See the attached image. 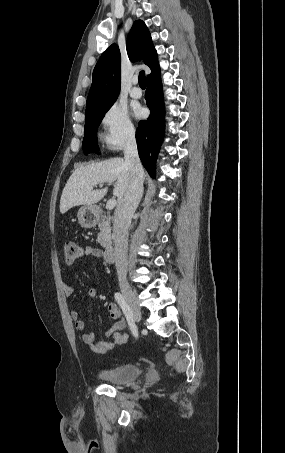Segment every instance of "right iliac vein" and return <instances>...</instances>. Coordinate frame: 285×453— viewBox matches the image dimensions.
Segmentation results:
<instances>
[{
    "label": "right iliac vein",
    "instance_id": "right-iliac-vein-1",
    "mask_svg": "<svg viewBox=\"0 0 285 453\" xmlns=\"http://www.w3.org/2000/svg\"><path fill=\"white\" fill-rule=\"evenodd\" d=\"M121 291L129 305V308L132 313L133 320L139 322L141 320V309L138 304L135 293L133 292L130 285L126 282L120 284Z\"/></svg>",
    "mask_w": 285,
    "mask_h": 453
}]
</instances>
